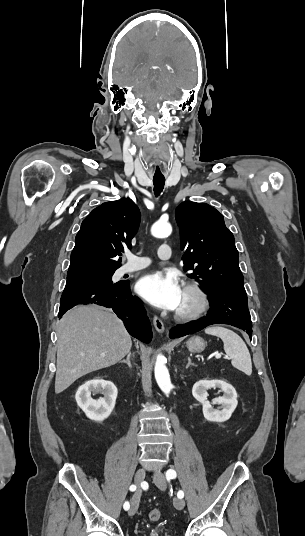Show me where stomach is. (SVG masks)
Returning a JSON list of instances; mask_svg holds the SVG:
<instances>
[{
    "label": "stomach",
    "mask_w": 305,
    "mask_h": 536,
    "mask_svg": "<svg viewBox=\"0 0 305 536\" xmlns=\"http://www.w3.org/2000/svg\"><path fill=\"white\" fill-rule=\"evenodd\" d=\"M187 348L192 354H200V352L205 350L206 342H204L203 338H199V336H193V338L188 340Z\"/></svg>",
    "instance_id": "1"
}]
</instances>
